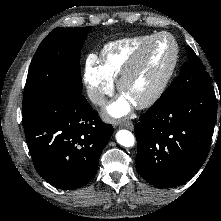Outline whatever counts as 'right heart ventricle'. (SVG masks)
I'll return each instance as SVG.
<instances>
[{
    "label": "right heart ventricle",
    "mask_w": 221,
    "mask_h": 221,
    "mask_svg": "<svg viewBox=\"0 0 221 221\" xmlns=\"http://www.w3.org/2000/svg\"><path fill=\"white\" fill-rule=\"evenodd\" d=\"M154 34L128 37L110 42L100 53V67L112 81L118 80L141 46Z\"/></svg>",
    "instance_id": "e07e8e85"
}]
</instances>
